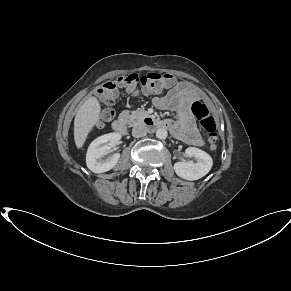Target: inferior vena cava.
I'll return each mask as SVG.
<instances>
[{"mask_svg":"<svg viewBox=\"0 0 291 291\" xmlns=\"http://www.w3.org/2000/svg\"><path fill=\"white\" fill-rule=\"evenodd\" d=\"M132 135L135 138L144 137L147 135V128L144 125L136 126L132 129Z\"/></svg>","mask_w":291,"mask_h":291,"instance_id":"1","label":"inferior vena cava"}]
</instances>
